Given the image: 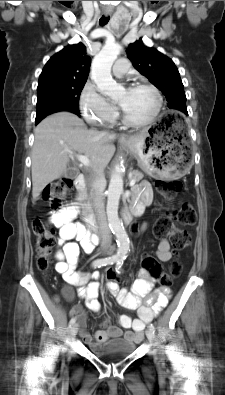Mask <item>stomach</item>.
I'll return each instance as SVG.
<instances>
[{"instance_id":"stomach-1","label":"stomach","mask_w":225,"mask_h":395,"mask_svg":"<svg viewBox=\"0 0 225 395\" xmlns=\"http://www.w3.org/2000/svg\"><path fill=\"white\" fill-rule=\"evenodd\" d=\"M162 117L122 143L135 155L140 168L149 175L165 179L180 178L189 167L185 149L187 141L175 130L161 125Z\"/></svg>"}]
</instances>
